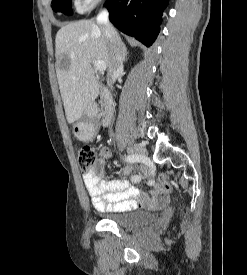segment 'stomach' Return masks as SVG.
<instances>
[{"instance_id":"1","label":"stomach","mask_w":247,"mask_h":275,"mask_svg":"<svg viewBox=\"0 0 247 275\" xmlns=\"http://www.w3.org/2000/svg\"><path fill=\"white\" fill-rule=\"evenodd\" d=\"M91 127L85 122H78L73 126V133L79 139H85L90 134Z\"/></svg>"}]
</instances>
